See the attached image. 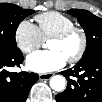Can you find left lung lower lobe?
I'll return each instance as SVG.
<instances>
[{
  "mask_svg": "<svg viewBox=\"0 0 102 102\" xmlns=\"http://www.w3.org/2000/svg\"><path fill=\"white\" fill-rule=\"evenodd\" d=\"M61 74L68 84L64 92L56 95L57 102H102V54L82 58L73 69Z\"/></svg>",
  "mask_w": 102,
  "mask_h": 102,
  "instance_id": "1",
  "label": "left lung lower lobe"
}]
</instances>
